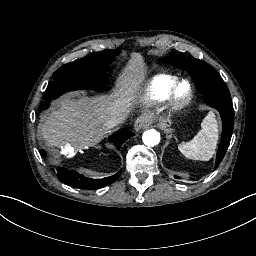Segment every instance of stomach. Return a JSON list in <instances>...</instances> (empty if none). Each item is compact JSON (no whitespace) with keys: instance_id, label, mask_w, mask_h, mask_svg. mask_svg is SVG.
I'll return each mask as SVG.
<instances>
[{"instance_id":"1","label":"stomach","mask_w":256,"mask_h":256,"mask_svg":"<svg viewBox=\"0 0 256 256\" xmlns=\"http://www.w3.org/2000/svg\"><path fill=\"white\" fill-rule=\"evenodd\" d=\"M170 122H171V121H170L169 119H166V120H163L161 124H162L163 126H166V127H167V126H169Z\"/></svg>"}]
</instances>
